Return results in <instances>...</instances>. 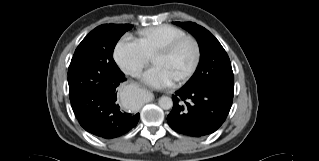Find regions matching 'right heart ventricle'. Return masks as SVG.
<instances>
[{"instance_id":"right-heart-ventricle-1","label":"right heart ventricle","mask_w":319,"mask_h":161,"mask_svg":"<svg viewBox=\"0 0 319 161\" xmlns=\"http://www.w3.org/2000/svg\"><path fill=\"white\" fill-rule=\"evenodd\" d=\"M184 35H186L185 31L176 26L161 24L140 30L135 42L147 58H153L163 45Z\"/></svg>"}]
</instances>
